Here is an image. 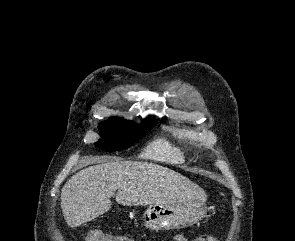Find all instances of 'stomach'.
I'll return each instance as SVG.
<instances>
[{"instance_id": "obj_1", "label": "stomach", "mask_w": 295, "mask_h": 241, "mask_svg": "<svg viewBox=\"0 0 295 241\" xmlns=\"http://www.w3.org/2000/svg\"><path fill=\"white\" fill-rule=\"evenodd\" d=\"M204 201L187 203L152 204L143 214L144 226L153 230L185 228L199 222L207 215Z\"/></svg>"}]
</instances>
